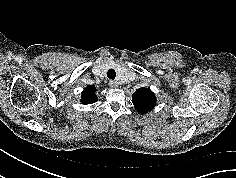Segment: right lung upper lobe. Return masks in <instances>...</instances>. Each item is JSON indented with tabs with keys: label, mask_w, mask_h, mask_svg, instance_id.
<instances>
[{
	"label": "right lung upper lobe",
	"mask_w": 236,
	"mask_h": 178,
	"mask_svg": "<svg viewBox=\"0 0 236 178\" xmlns=\"http://www.w3.org/2000/svg\"><path fill=\"white\" fill-rule=\"evenodd\" d=\"M95 92L96 88L93 85H89L84 88V91L82 92L81 102L83 104L95 103L98 100Z\"/></svg>",
	"instance_id": "1"
}]
</instances>
